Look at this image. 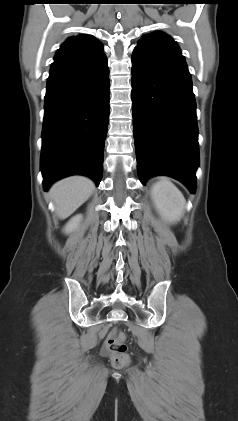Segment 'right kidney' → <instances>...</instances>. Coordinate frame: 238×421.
Here are the masks:
<instances>
[{"instance_id":"1","label":"right kidney","mask_w":238,"mask_h":421,"mask_svg":"<svg viewBox=\"0 0 238 421\" xmlns=\"http://www.w3.org/2000/svg\"><path fill=\"white\" fill-rule=\"evenodd\" d=\"M82 219V216L76 215L73 218L70 219V221L65 225L63 231L66 234L72 233L79 225L80 221Z\"/></svg>"}]
</instances>
